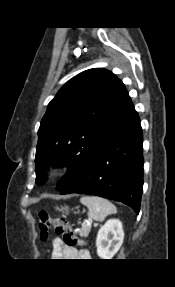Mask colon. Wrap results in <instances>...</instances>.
I'll list each match as a JSON object with an SVG mask.
<instances>
[{"label": "colon", "instance_id": "5ec220e1", "mask_svg": "<svg viewBox=\"0 0 175 287\" xmlns=\"http://www.w3.org/2000/svg\"><path fill=\"white\" fill-rule=\"evenodd\" d=\"M38 226L43 240H46L49 237L51 230H54L67 246L74 247L86 244L83 239L77 236L74 229L65 218H55L46 211H40L38 214Z\"/></svg>", "mask_w": 175, "mask_h": 287}]
</instances>
